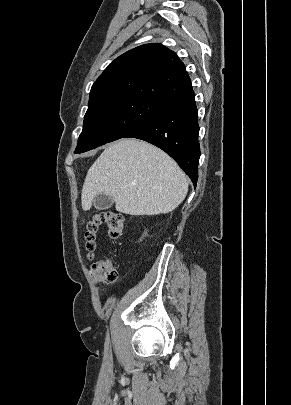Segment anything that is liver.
<instances>
[{
	"label": "liver",
	"instance_id": "1",
	"mask_svg": "<svg viewBox=\"0 0 291 405\" xmlns=\"http://www.w3.org/2000/svg\"><path fill=\"white\" fill-rule=\"evenodd\" d=\"M187 191L186 175L170 156L147 142L123 138L105 148L88 170L81 202L87 211L104 193L118 212L158 215L177 208Z\"/></svg>",
	"mask_w": 291,
	"mask_h": 405
}]
</instances>
